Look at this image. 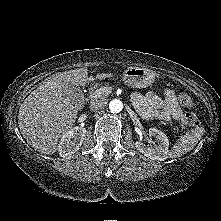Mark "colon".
I'll return each instance as SVG.
<instances>
[{
  "mask_svg": "<svg viewBox=\"0 0 221 221\" xmlns=\"http://www.w3.org/2000/svg\"><path fill=\"white\" fill-rule=\"evenodd\" d=\"M178 104L187 110H190L194 106L193 99L185 90H178L177 92ZM182 125L185 129H193L199 125L198 118L191 112L186 113L182 118Z\"/></svg>",
  "mask_w": 221,
  "mask_h": 221,
  "instance_id": "colon-1",
  "label": "colon"
}]
</instances>
